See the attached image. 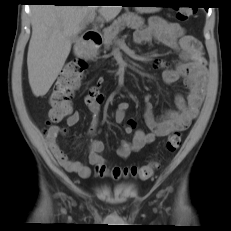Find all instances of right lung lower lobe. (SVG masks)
<instances>
[{
  "label": "right lung lower lobe",
  "instance_id": "obj_1",
  "mask_svg": "<svg viewBox=\"0 0 231 231\" xmlns=\"http://www.w3.org/2000/svg\"><path fill=\"white\" fill-rule=\"evenodd\" d=\"M73 1L74 0H28V2L33 4L53 3L55 5H80L79 3Z\"/></svg>",
  "mask_w": 231,
  "mask_h": 231
}]
</instances>
